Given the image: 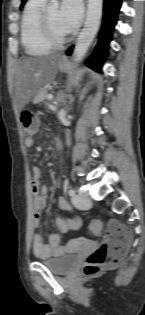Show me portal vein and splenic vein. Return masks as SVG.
Segmentation results:
<instances>
[{
  "label": "portal vein and splenic vein",
  "mask_w": 145,
  "mask_h": 315,
  "mask_svg": "<svg viewBox=\"0 0 145 315\" xmlns=\"http://www.w3.org/2000/svg\"><path fill=\"white\" fill-rule=\"evenodd\" d=\"M52 98H53V95L48 94L47 99H48V100H51Z\"/></svg>",
  "instance_id": "18ae733b"
}]
</instances>
